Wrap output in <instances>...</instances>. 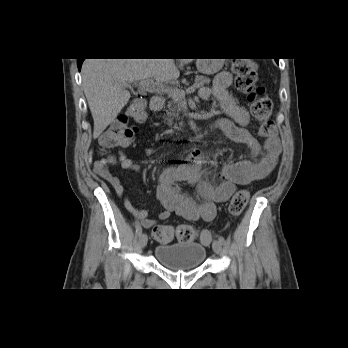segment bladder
I'll return each mask as SVG.
<instances>
[{
  "mask_svg": "<svg viewBox=\"0 0 348 348\" xmlns=\"http://www.w3.org/2000/svg\"><path fill=\"white\" fill-rule=\"evenodd\" d=\"M154 254L170 270L187 271L203 264L206 249L197 242H177L158 245Z\"/></svg>",
  "mask_w": 348,
  "mask_h": 348,
  "instance_id": "1",
  "label": "bladder"
}]
</instances>
